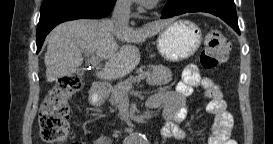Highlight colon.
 Here are the masks:
<instances>
[{"mask_svg": "<svg viewBox=\"0 0 273 144\" xmlns=\"http://www.w3.org/2000/svg\"><path fill=\"white\" fill-rule=\"evenodd\" d=\"M229 43L225 35L213 28L205 36L200 63L205 70L217 69L227 59ZM81 87L77 76L61 78L42 103L39 113L40 135L47 143L64 142L69 133L68 98Z\"/></svg>", "mask_w": 273, "mask_h": 144, "instance_id": "5ec220e1", "label": "colon"}]
</instances>
